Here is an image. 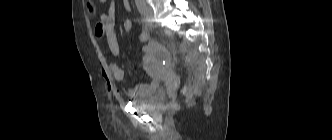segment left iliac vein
Masks as SVG:
<instances>
[{"label": "left iliac vein", "instance_id": "1", "mask_svg": "<svg viewBox=\"0 0 332 140\" xmlns=\"http://www.w3.org/2000/svg\"><path fill=\"white\" fill-rule=\"evenodd\" d=\"M145 2V1H144ZM143 15H144V20L145 22L150 26V27H155L156 24L154 22V13H153V9L151 8L150 5H148L146 2H145V5H144V12H143Z\"/></svg>", "mask_w": 332, "mask_h": 140}]
</instances>
